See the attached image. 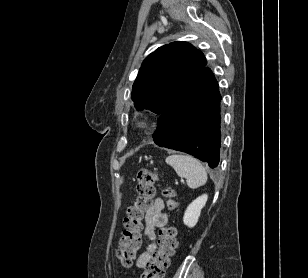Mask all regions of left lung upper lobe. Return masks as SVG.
Here are the masks:
<instances>
[{
	"instance_id": "obj_1",
	"label": "left lung upper lobe",
	"mask_w": 308,
	"mask_h": 278,
	"mask_svg": "<svg viewBox=\"0 0 308 278\" xmlns=\"http://www.w3.org/2000/svg\"><path fill=\"white\" fill-rule=\"evenodd\" d=\"M203 53L187 42H172L143 61L131 98L137 110L161 114L181 89L206 68Z\"/></svg>"
}]
</instances>
